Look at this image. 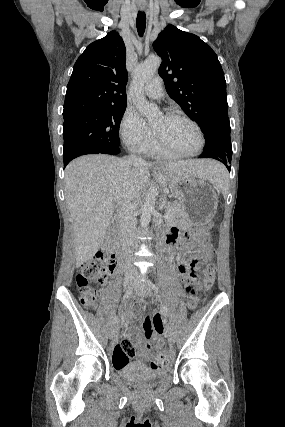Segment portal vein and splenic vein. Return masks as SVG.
Returning a JSON list of instances; mask_svg holds the SVG:
<instances>
[{
    "label": "portal vein and splenic vein",
    "mask_w": 285,
    "mask_h": 427,
    "mask_svg": "<svg viewBox=\"0 0 285 427\" xmlns=\"http://www.w3.org/2000/svg\"><path fill=\"white\" fill-rule=\"evenodd\" d=\"M164 218L168 219V218H170V215L165 213Z\"/></svg>",
    "instance_id": "1"
}]
</instances>
